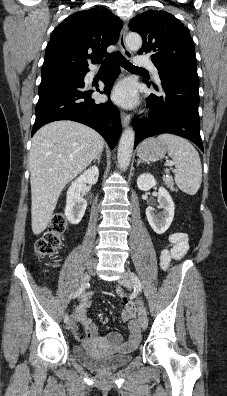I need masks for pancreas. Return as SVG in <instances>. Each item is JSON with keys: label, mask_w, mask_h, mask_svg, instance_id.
I'll use <instances>...</instances> for the list:
<instances>
[{"label": "pancreas", "mask_w": 227, "mask_h": 396, "mask_svg": "<svg viewBox=\"0 0 227 396\" xmlns=\"http://www.w3.org/2000/svg\"><path fill=\"white\" fill-rule=\"evenodd\" d=\"M163 181L165 183V185L172 191L175 190L174 188V182H173V178L171 176H167L163 178Z\"/></svg>", "instance_id": "pancreas-1"}]
</instances>
